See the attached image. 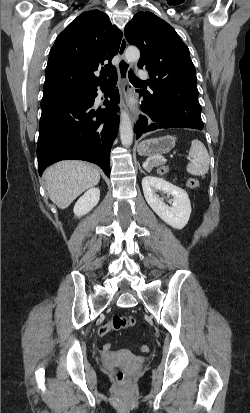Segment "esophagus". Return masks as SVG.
Segmentation results:
<instances>
[{"label": "esophagus", "instance_id": "obj_1", "mask_svg": "<svg viewBox=\"0 0 250 413\" xmlns=\"http://www.w3.org/2000/svg\"><path fill=\"white\" fill-rule=\"evenodd\" d=\"M127 48V41L125 37L123 36L120 47H119V62H118V72H119V86L121 88L122 93L126 96V92L129 90V84H128V69H129V63L127 62L125 58V50ZM130 117L133 123L136 122L137 119V113L134 108L130 107Z\"/></svg>", "mask_w": 250, "mask_h": 413}]
</instances>
